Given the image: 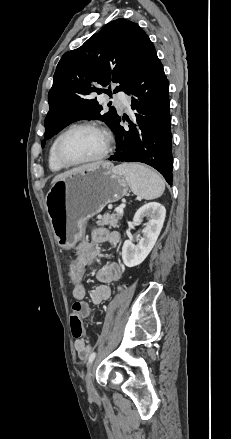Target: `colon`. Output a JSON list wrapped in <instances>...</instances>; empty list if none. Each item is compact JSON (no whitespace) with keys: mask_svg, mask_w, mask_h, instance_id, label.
Here are the masks:
<instances>
[{"mask_svg":"<svg viewBox=\"0 0 231 439\" xmlns=\"http://www.w3.org/2000/svg\"><path fill=\"white\" fill-rule=\"evenodd\" d=\"M70 282L72 284V289L74 291V286L76 283H87L84 279L86 274V267L82 264L80 258L74 259L69 267ZM70 328L73 337L79 339L84 335V326L81 317L77 311H73L70 316Z\"/></svg>","mask_w":231,"mask_h":439,"instance_id":"obj_1","label":"colon"}]
</instances>
